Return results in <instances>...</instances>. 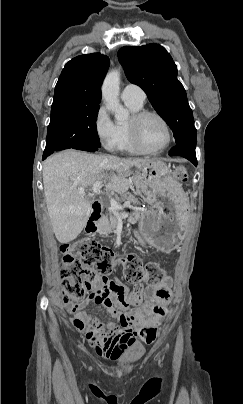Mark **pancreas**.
<instances>
[{
  "instance_id": "cf45deb5",
  "label": "pancreas",
  "mask_w": 243,
  "mask_h": 404,
  "mask_svg": "<svg viewBox=\"0 0 243 404\" xmlns=\"http://www.w3.org/2000/svg\"><path fill=\"white\" fill-rule=\"evenodd\" d=\"M120 206V204H118ZM121 210H108L109 214L105 215V218L97 222V232L101 234L103 238H106L108 234H111L112 230L116 228L121 214H123L124 206H120ZM140 214V212H139ZM132 219V220H131ZM131 219L127 220L128 224H136L138 219V214L133 213Z\"/></svg>"
}]
</instances>
